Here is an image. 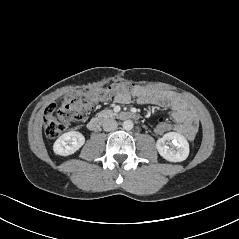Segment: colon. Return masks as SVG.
<instances>
[{
  "label": "colon",
  "mask_w": 239,
  "mask_h": 239,
  "mask_svg": "<svg viewBox=\"0 0 239 239\" xmlns=\"http://www.w3.org/2000/svg\"><path fill=\"white\" fill-rule=\"evenodd\" d=\"M132 89L130 84L122 83L69 92L59 106L51 104L45 108L43 121L46 135L50 138L59 136L69 125L82 120L100 103L108 101L114 94L130 93ZM173 127V123L164 116H158L152 121V129L158 138L165 137Z\"/></svg>",
  "instance_id": "colon-1"
}]
</instances>
